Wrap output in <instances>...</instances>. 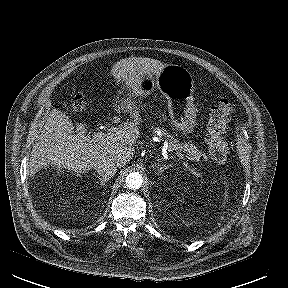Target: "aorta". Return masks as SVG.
<instances>
[{"label":"aorta","instance_id":"aorta-1","mask_svg":"<svg viewBox=\"0 0 288 288\" xmlns=\"http://www.w3.org/2000/svg\"><path fill=\"white\" fill-rule=\"evenodd\" d=\"M126 186L129 189H139L143 183V177L139 172H131L126 177Z\"/></svg>","mask_w":288,"mask_h":288}]
</instances>
